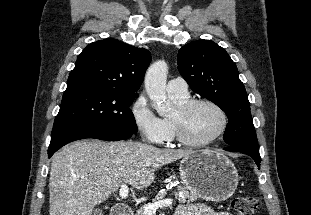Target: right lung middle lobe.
Segmentation results:
<instances>
[{
  "instance_id": "right-lung-middle-lobe-1",
  "label": "right lung middle lobe",
  "mask_w": 311,
  "mask_h": 215,
  "mask_svg": "<svg viewBox=\"0 0 311 215\" xmlns=\"http://www.w3.org/2000/svg\"><path fill=\"white\" fill-rule=\"evenodd\" d=\"M136 93L79 84L65 90L52 137L76 131L137 133L130 109Z\"/></svg>"
}]
</instances>
